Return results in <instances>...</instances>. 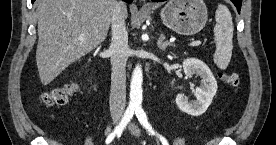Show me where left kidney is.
I'll use <instances>...</instances> for the list:
<instances>
[{
	"mask_svg": "<svg viewBox=\"0 0 276 145\" xmlns=\"http://www.w3.org/2000/svg\"><path fill=\"white\" fill-rule=\"evenodd\" d=\"M184 73L192 77H201V85L196 89V101H188L184 94L176 96L178 108L191 116L202 115L212 103L213 97L217 92V82L209 67L201 60L188 58L183 61Z\"/></svg>",
	"mask_w": 276,
	"mask_h": 145,
	"instance_id": "5707ae66",
	"label": "left kidney"
}]
</instances>
